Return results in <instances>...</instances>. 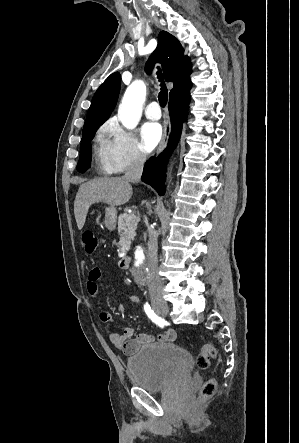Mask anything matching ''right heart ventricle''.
<instances>
[{
  "label": "right heart ventricle",
  "instance_id": "e07e8e85",
  "mask_svg": "<svg viewBox=\"0 0 299 443\" xmlns=\"http://www.w3.org/2000/svg\"><path fill=\"white\" fill-rule=\"evenodd\" d=\"M95 163L98 171L104 174L114 172L107 154V143L104 139H98L94 150Z\"/></svg>",
  "mask_w": 299,
  "mask_h": 443
}]
</instances>
